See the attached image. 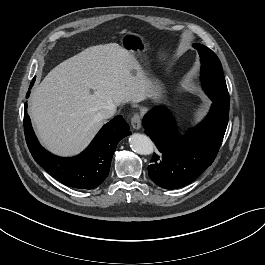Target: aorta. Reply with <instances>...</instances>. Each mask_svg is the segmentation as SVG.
Listing matches in <instances>:
<instances>
[{
  "instance_id": "1",
  "label": "aorta",
  "mask_w": 265,
  "mask_h": 265,
  "mask_svg": "<svg viewBox=\"0 0 265 265\" xmlns=\"http://www.w3.org/2000/svg\"><path fill=\"white\" fill-rule=\"evenodd\" d=\"M129 144L134 152L141 155H150L154 150V143L148 136L144 134H132L129 137Z\"/></svg>"
}]
</instances>
